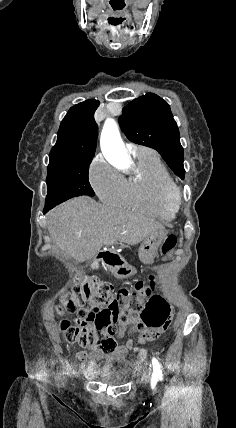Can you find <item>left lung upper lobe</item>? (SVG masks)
I'll return each mask as SVG.
<instances>
[{
    "mask_svg": "<svg viewBox=\"0 0 236 428\" xmlns=\"http://www.w3.org/2000/svg\"><path fill=\"white\" fill-rule=\"evenodd\" d=\"M120 126L127 138L157 150L168 166L184 178V151L168 103L153 93L131 101L122 110Z\"/></svg>",
    "mask_w": 236,
    "mask_h": 428,
    "instance_id": "1",
    "label": "left lung upper lobe"
}]
</instances>
